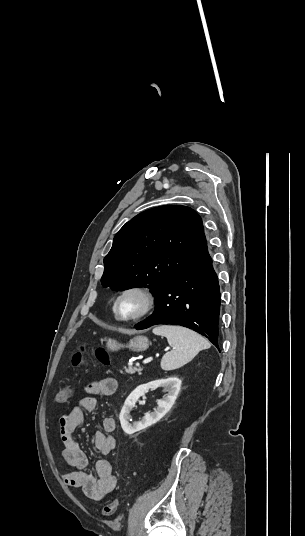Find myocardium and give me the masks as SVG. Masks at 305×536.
<instances>
[{
    "label": "myocardium",
    "instance_id": "myocardium-1",
    "mask_svg": "<svg viewBox=\"0 0 305 536\" xmlns=\"http://www.w3.org/2000/svg\"><path fill=\"white\" fill-rule=\"evenodd\" d=\"M129 292L141 293L145 298V308L138 315H135L130 318H124L119 315L118 302L123 295ZM156 304H157L156 296L150 287L143 285V284H132L120 290L118 294L116 295V297L114 298L113 303H112V308H111L112 315H113L114 320L119 324H125V325L136 324L145 320L147 317H149L154 311Z\"/></svg>",
    "mask_w": 305,
    "mask_h": 536
}]
</instances>
